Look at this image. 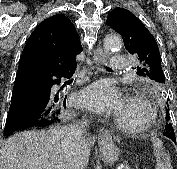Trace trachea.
I'll return each instance as SVG.
<instances>
[{"mask_svg": "<svg viewBox=\"0 0 177 169\" xmlns=\"http://www.w3.org/2000/svg\"><path fill=\"white\" fill-rule=\"evenodd\" d=\"M106 70L111 71L112 69L109 67H105Z\"/></svg>", "mask_w": 177, "mask_h": 169, "instance_id": "trachea-1", "label": "trachea"}]
</instances>
